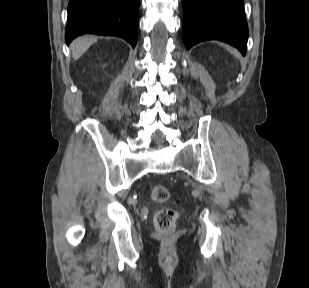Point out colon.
I'll return each instance as SVG.
<instances>
[{"label":"colon","instance_id":"obj_1","mask_svg":"<svg viewBox=\"0 0 309 288\" xmlns=\"http://www.w3.org/2000/svg\"><path fill=\"white\" fill-rule=\"evenodd\" d=\"M151 197L156 202L167 201L170 197L168 189L164 185H155L151 189ZM179 200H175V205ZM178 217L176 208L169 207L159 210L154 217V224L158 231L162 233H169L174 230L175 223Z\"/></svg>","mask_w":309,"mask_h":288}]
</instances>
